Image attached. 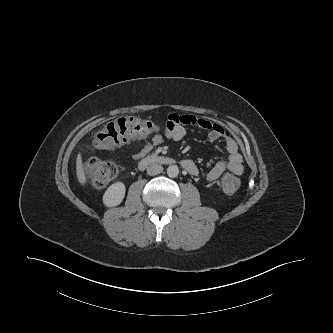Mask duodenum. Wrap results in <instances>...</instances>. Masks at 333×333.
Masks as SVG:
<instances>
[{
    "instance_id": "410a0bca",
    "label": "duodenum",
    "mask_w": 333,
    "mask_h": 333,
    "mask_svg": "<svg viewBox=\"0 0 333 333\" xmlns=\"http://www.w3.org/2000/svg\"><path fill=\"white\" fill-rule=\"evenodd\" d=\"M173 160L171 158L165 157V156H160V155H150L145 158H143L139 162V168L140 169H145L149 165L153 164H170L172 163Z\"/></svg>"
}]
</instances>
